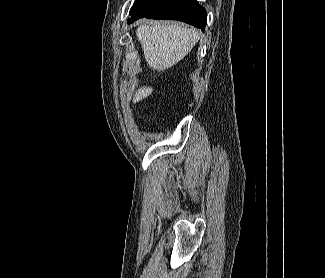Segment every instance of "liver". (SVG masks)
Instances as JSON below:
<instances>
[{"instance_id":"obj_1","label":"liver","mask_w":325,"mask_h":278,"mask_svg":"<svg viewBox=\"0 0 325 278\" xmlns=\"http://www.w3.org/2000/svg\"><path fill=\"white\" fill-rule=\"evenodd\" d=\"M136 35L148 66L159 72L182 60L200 39L198 30L169 22L144 23ZM152 91V87L139 88L133 102L148 97Z\"/></svg>"}]
</instances>
